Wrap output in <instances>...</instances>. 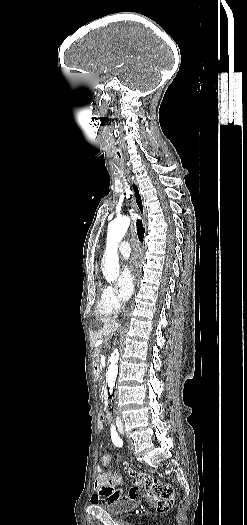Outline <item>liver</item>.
I'll use <instances>...</instances> for the list:
<instances>
[{
	"label": "liver",
	"instance_id": "liver-1",
	"mask_svg": "<svg viewBox=\"0 0 247 525\" xmlns=\"http://www.w3.org/2000/svg\"><path fill=\"white\" fill-rule=\"evenodd\" d=\"M100 333L98 335L99 339H102V337H106V335H110V333H115L119 327V323L117 321H110V319H107V321H102L100 325Z\"/></svg>",
	"mask_w": 247,
	"mask_h": 525
}]
</instances>
